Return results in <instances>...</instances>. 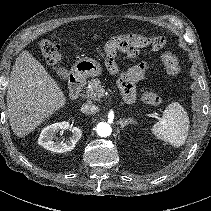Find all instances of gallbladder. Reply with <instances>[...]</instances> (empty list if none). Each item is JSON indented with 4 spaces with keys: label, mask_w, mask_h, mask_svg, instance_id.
<instances>
[{
    "label": "gallbladder",
    "mask_w": 211,
    "mask_h": 211,
    "mask_svg": "<svg viewBox=\"0 0 211 211\" xmlns=\"http://www.w3.org/2000/svg\"><path fill=\"white\" fill-rule=\"evenodd\" d=\"M62 72H64V69H63V68H60V69L58 70V73H62Z\"/></svg>",
    "instance_id": "bac80fb5"
}]
</instances>
